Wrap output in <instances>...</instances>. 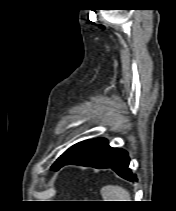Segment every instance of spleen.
<instances>
[{"instance_id":"3e777b00","label":"spleen","mask_w":176,"mask_h":211,"mask_svg":"<svg viewBox=\"0 0 176 211\" xmlns=\"http://www.w3.org/2000/svg\"><path fill=\"white\" fill-rule=\"evenodd\" d=\"M103 201H131L130 193L122 186L106 185L101 188Z\"/></svg>"}]
</instances>
